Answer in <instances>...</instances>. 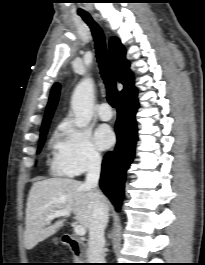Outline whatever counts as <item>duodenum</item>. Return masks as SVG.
Here are the masks:
<instances>
[{
    "mask_svg": "<svg viewBox=\"0 0 205 265\" xmlns=\"http://www.w3.org/2000/svg\"><path fill=\"white\" fill-rule=\"evenodd\" d=\"M62 242L80 261L84 260L86 248L83 242L69 234H64L62 236Z\"/></svg>",
    "mask_w": 205,
    "mask_h": 265,
    "instance_id": "obj_1",
    "label": "duodenum"
}]
</instances>
